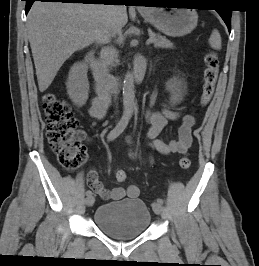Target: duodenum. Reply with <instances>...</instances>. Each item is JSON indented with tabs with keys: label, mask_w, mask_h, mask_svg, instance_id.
<instances>
[{
	"label": "duodenum",
	"mask_w": 259,
	"mask_h": 266,
	"mask_svg": "<svg viewBox=\"0 0 259 266\" xmlns=\"http://www.w3.org/2000/svg\"><path fill=\"white\" fill-rule=\"evenodd\" d=\"M85 61L90 66L98 90L114 91L125 82L139 83L146 71V61L143 58L136 60L133 71L125 76H116L106 71L99 63L95 55V49L89 50L85 55Z\"/></svg>",
	"instance_id": "1"
}]
</instances>
